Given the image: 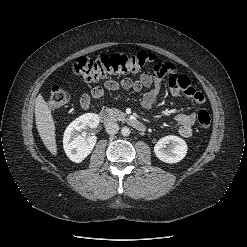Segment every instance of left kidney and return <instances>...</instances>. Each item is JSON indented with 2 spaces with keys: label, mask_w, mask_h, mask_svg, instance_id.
<instances>
[{
  "label": "left kidney",
  "mask_w": 247,
  "mask_h": 247,
  "mask_svg": "<svg viewBox=\"0 0 247 247\" xmlns=\"http://www.w3.org/2000/svg\"><path fill=\"white\" fill-rule=\"evenodd\" d=\"M165 144H170L166 148ZM186 142L178 136L169 135L161 138L154 146L156 157L165 163H177L181 161L187 154Z\"/></svg>",
  "instance_id": "5707ae66"
}]
</instances>
